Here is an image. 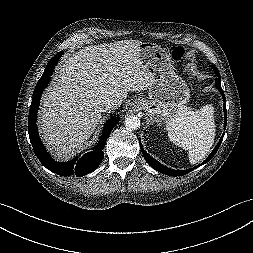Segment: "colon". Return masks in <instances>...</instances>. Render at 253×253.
Returning <instances> with one entry per match:
<instances>
[{
	"mask_svg": "<svg viewBox=\"0 0 253 253\" xmlns=\"http://www.w3.org/2000/svg\"><path fill=\"white\" fill-rule=\"evenodd\" d=\"M170 53L175 60H182L186 55L185 49L178 46L171 47Z\"/></svg>",
	"mask_w": 253,
	"mask_h": 253,
	"instance_id": "obj_1",
	"label": "colon"
}]
</instances>
